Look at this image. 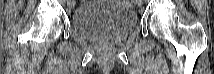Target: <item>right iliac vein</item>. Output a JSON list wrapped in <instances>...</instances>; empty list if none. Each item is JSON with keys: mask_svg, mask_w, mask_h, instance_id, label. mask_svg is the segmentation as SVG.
Listing matches in <instances>:
<instances>
[{"mask_svg": "<svg viewBox=\"0 0 214 74\" xmlns=\"http://www.w3.org/2000/svg\"><path fill=\"white\" fill-rule=\"evenodd\" d=\"M69 5H70V7H71V8H74V6H75V4H74V2H73V1H72V2H70V4H69Z\"/></svg>", "mask_w": 214, "mask_h": 74, "instance_id": "1", "label": "right iliac vein"}]
</instances>
